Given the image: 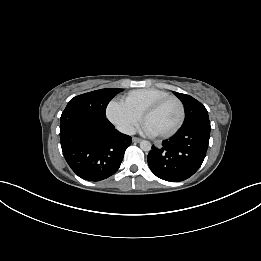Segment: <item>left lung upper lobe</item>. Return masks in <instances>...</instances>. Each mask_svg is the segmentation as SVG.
<instances>
[{
	"instance_id": "1",
	"label": "left lung upper lobe",
	"mask_w": 261,
	"mask_h": 261,
	"mask_svg": "<svg viewBox=\"0 0 261 261\" xmlns=\"http://www.w3.org/2000/svg\"><path fill=\"white\" fill-rule=\"evenodd\" d=\"M175 94L182 100L186 117L183 125H188L201 120H209L208 112L203 104L191 97L190 95L175 92Z\"/></svg>"
}]
</instances>
